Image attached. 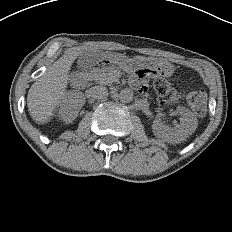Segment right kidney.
Wrapping results in <instances>:
<instances>
[{
	"mask_svg": "<svg viewBox=\"0 0 232 232\" xmlns=\"http://www.w3.org/2000/svg\"><path fill=\"white\" fill-rule=\"evenodd\" d=\"M55 116L66 124L72 123L78 115V108L75 105L71 92H65L54 104Z\"/></svg>",
	"mask_w": 232,
	"mask_h": 232,
	"instance_id": "ca27d5eb",
	"label": "right kidney"
}]
</instances>
